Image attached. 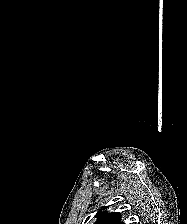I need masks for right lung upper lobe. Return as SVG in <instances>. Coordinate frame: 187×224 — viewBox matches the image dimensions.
<instances>
[{
    "instance_id": "obj_1",
    "label": "right lung upper lobe",
    "mask_w": 187,
    "mask_h": 224,
    "mask_svg": "<svg viewBox=\"0 0 187 224\" xmlns=\"http://www.w3.org/2000/svg\"><path fill=\"white\" fill-rule=\"evenodd\" d=\"M98 218L95 224H125L124 222H120V214L117 212L113 213H105L101 210L96 214Z\"/></svg>"
}]
</instances>
